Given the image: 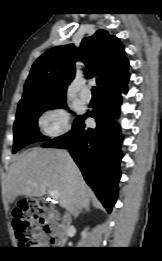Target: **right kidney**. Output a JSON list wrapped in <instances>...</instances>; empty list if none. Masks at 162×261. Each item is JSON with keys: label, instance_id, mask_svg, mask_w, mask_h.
Masks as SVG:
<instances>
[{"label": "right kidney", "instance_id": "right-kidney-1", "mask_svg": "<svg viewBox=\"0 0 162 261\" xmlns=\"http://www.w3.org/2000/svg\"><path fill=\"white\" fill-rule=\"evenodd\" d=\"M87 229H88V228H86V229L81 233L82 238H85V237L87 236Z\"/></svg>", "mask_w": 162, "mask_h": 261}]
</instances>
